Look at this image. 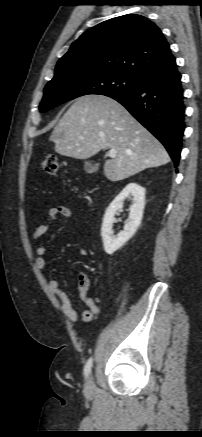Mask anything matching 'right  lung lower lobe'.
I'll return each mask as SVG.
<instances>
[{
    "mask_svg": "<svg viewBox=\"0 0 202 437\" xmlns=\"http://www.w3.org/2000/svg\"><path fill=\"white\" fill-rule=\"evenodd\" d=\"M109 97L122 104L165 146L177 166L185 128V105L175 60L142 77L134 89Z\"/></svg>",
    "mask_w": 202,
    "mask_h": 437,
    "instance_id": "obj_1",
    "label": "right lung lower lobe"
}]
</instances>
